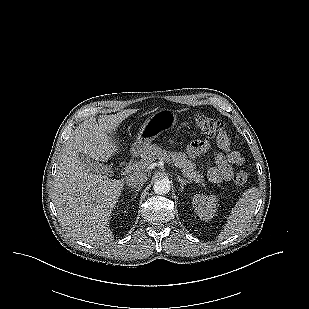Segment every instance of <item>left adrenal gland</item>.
I'll use <instances>...</instances> for the list:
<instances>
[{
    "label": "left adrenal gland",
    "mask_w": 309,
    "mask_h": 309,
    "mask_svg": "<svg viewBox=\"0 0 309 309\" xmlns=\"http://www.w3.org/2000/svg\"><path fill=\"white\" fill-rule=\"evenodd\" d=\"M177 180L178 182L180 183V189H181V192L184 190V186L187 185L188 181L181 178L180 176H177Z\"/></svg>",
    "instance_id": "obj_1"
}]
</instances>
